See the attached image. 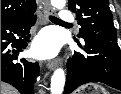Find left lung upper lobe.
<instances>
[{"label":"left lung upper lobe","instance_id":"left-lung-upper-lobe-1","mask_svg":"<svg viewBox=\"0 0 121 94\" xmlns=\"http://www.w3.org/2000/svg\"><path fill=\"white\" fill-rule=\"evenodd\" d=\"M68 5L81 26L79 37L117 42L109 0H68Z\"/></svg>","mask_w":121,"mask_h":94}]
</instances>
